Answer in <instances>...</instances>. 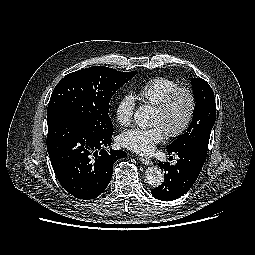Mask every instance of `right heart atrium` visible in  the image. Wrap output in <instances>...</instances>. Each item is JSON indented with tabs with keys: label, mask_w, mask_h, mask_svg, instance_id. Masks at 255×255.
I'll return each mask as SVG.
<instances>
[{
	"label": "right heart atrium",
	"mask_w": 255,
	"mask_h": 255,
	"mask_svg": "<svg viewBox=\"0 0 255 255\" xmlns=\"http://www.w3.org/2000/svg\"><path fill=\"white\" fill-rule=\"evenodd\" d=\"M134 98L129 94L122 95L115 105V118L121 125H128L133 118Z\"/></svg>",
	"instance_id": "1"
}]
</instances>
